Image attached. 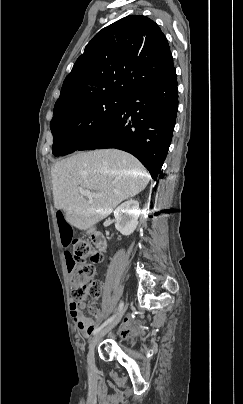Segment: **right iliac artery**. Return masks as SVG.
I'll return each instance as SVG.
<instances>
[{
    "label": "right iliac artery",
    "instance_id": "82829eb1",
    "mask_svg": "<svg viewBox=\"0 0 243 404\" xmlns=\"http://www.w3.org/2000/svg\"><path fill=\"white\" fill-rule=\"evenodd\" d=\"M123 307H124V303H123V301H121L120 304H119L118 312H117L115 315H113L112 317H110L109 319H107L100 327L96 328V329L93 331V335H96V334H97L98 332H100V330H102L106 325H108L109 323H111V322L114 320V318L116 317V315L123 309Z\"/></svg>",
    "mask_w": 243,
    "mask_h": 404
}]
</instances>
